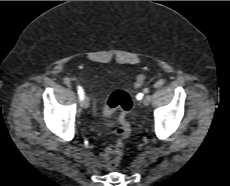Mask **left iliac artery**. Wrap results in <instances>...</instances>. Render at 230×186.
Wrapping results in <instances>:
<instances>
[{
    "label": "left iliac artery",
    "instance_id": "1",
    "mask_svg": "<svg viewBox=\"0 0 230 186\" xmlns=\"http://www.w3.org/2000/svg\"><path fill=\"white\" fill-rule=\"evenodd\" d=\"M143 96H144L143 93H139V94H137L136 98H137L138 100H141V99L143 98Z\"/></svg>",
    "mask_w": 230,
    "mask_h": 186
}]
</instances>
